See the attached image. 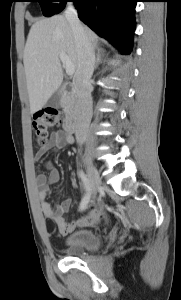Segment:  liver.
<instances>
[{
  "label": "liver",
  "mask_w": 181,
  "mask_h": 300,
  "mask_svg": "<svg viewBox=\"0 0 181 300\" xmlns=\"http://www.w3.org/2000/svg\"><path fill=\"white\" fill-rule=\"evenodd\" d=\"M84 30L92 47L98 48L97 35L87 27ZM61 53L67 55L76 71L78 54L66 18L56 15L34 23L29 31L23 55L31 113L40 110L62 84L63 71L59 57Z\"/></svg>",
  "instance_id": "1"
}]
</instances>
